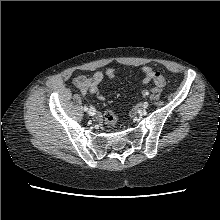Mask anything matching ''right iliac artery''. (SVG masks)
<instances>
[{"instance_id":"right-iliac-artery-1","label":"right iliac artery","mask_w":220,"mask_h":220,"mask_svg":"<svg viewBox=\"0 0 220 220\" xmlns=\"http://www.w3.org/2000/svg\"><path fill=\"white\" fill-rule=\"evenodd\" d=\"M84 111H88V107L86 105L84 106Z\"/></svg>"}]
</instances>
